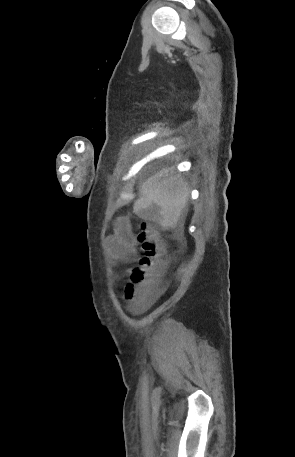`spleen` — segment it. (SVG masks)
<instances>
[{
  "mask_svg": "<svg viewBox=\"0 0 295 457\" xmlns=\"http://www.w3.org/2000/svg\"><path fill=\"white\" fill-rule=\"evenodd\" d=\"M140 192L141 197L135 201L134 211L147 215L156 211L159 223L164 228H172L186 207L189 187L179 175L164 169L143 183Z\"/></svg>",
  "mask_w": 295,
  "mask_h": 457,
  "instance_id": "obj_1",
  "label": "spleen"
}]
</instances>
